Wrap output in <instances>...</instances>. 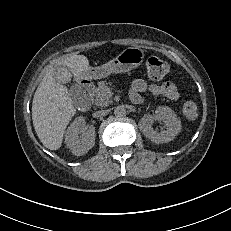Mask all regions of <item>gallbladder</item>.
<instances>
[{
	"instance_id": "gallbladder-1",
	"label": "gallbladder",
	"mask_w": 231,
	"mask_h": 231,
	"mask_svg": "<svg viewBox=\"0 0 231 231\" xmlns=\"http://www.w3.org/2000/svg\"><path fill=\"white\" fill-rule=\"evenodd\" d=\"M56 78L60 83H68L71 80V74L68 72L67 68L60 67L57 70Z\"/></svg>"
}]
</instances>
